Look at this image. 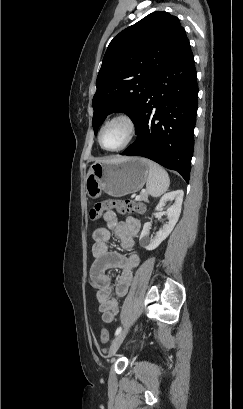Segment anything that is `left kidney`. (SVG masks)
Instances as JSON below:
<instances>
[{"label":"left kidney","instance_id":"5707ae66","mask_svg":"<svg viewBox=\"0 0 243 409\" xmlns=\"http://www.w3.org/2000/svg\"><path fill=\"white\" fill-rule=\"evenodd\" d=\"M183 196L184 193L182 190L169 192L162 196L159 204L156 206L157 211H162L167 201H174V204L170 206L165 212V214L167 215L168 223L164 224L154 237H149L151 223L147 222L144 224L139 238V243L146 250L151 251L156 249L161 244V242L165 240L172 232L181 213Z\"/></svg>","mask_w":243,"mask_h":409}]
</instances>
